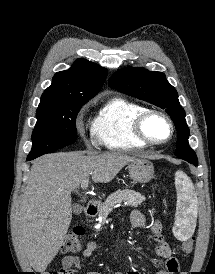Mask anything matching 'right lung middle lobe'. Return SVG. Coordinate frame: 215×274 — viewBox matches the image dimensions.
Listing matches in <instances>:
<instances>
[{
    "label": "right lung middle lobe",
    "mask_w": 215,
    "mask_h": 274,
    "mask_svg": "<svg viewBox=\"0 0 215 274\" xmlns=\"http://www.w3.org/2000/svg\"><path fill=\"white\" fill-rule=\"evenodd\" d=\"M82 105L67 102L39 104L28 161L75 142V119Z\"/></svg>",
    "instance_id": "obj_1"
}]
</instances>
